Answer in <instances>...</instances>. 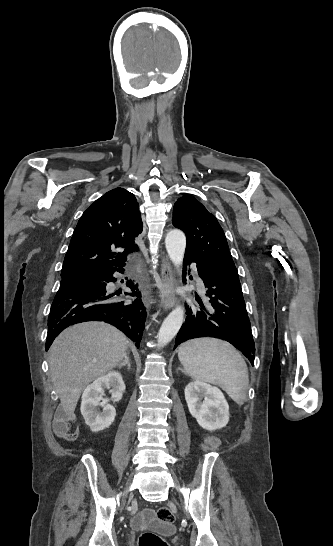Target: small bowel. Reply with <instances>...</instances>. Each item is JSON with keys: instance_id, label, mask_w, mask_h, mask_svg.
<instances>
[{"instance_id": "obj_1", "label": "small bowel", "mask_w": 333, "mask_h": 546, "mask_svg": "<svg viewBox=\"0 0 333 546\" xmlns=\"http://www.w3.org/2000/svg\"><path fill=\"white\" fill-rule=\"evenodd\" d=\"M69 418H59L53 423V429L57 436L64 438L68 441H75L79 436V430L74 429L70 431ZM154 522V514L150 509H146L138 514L132 522L135 528L151 525Z\"/></svg>"}]
</instances>
